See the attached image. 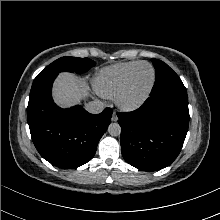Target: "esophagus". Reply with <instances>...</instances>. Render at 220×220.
<instances>
[{
	"mask_svg": "<svg viewBox=\"0 0 220 220\" xmlns=\"http://www.w3.org/2000/svg\"><path fill=\"white\" fill-rule=\"evenodd\" d=\"M111 120H112L113 122L118 121V117H117V115H116L115 112L112 114Z\"/></svg>",
	"mask_w": 220,
	"mask_h": 220,
	"instance_id": "obj_1",
	"label": "esophagus"
}]
</instances>
